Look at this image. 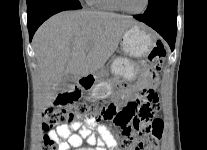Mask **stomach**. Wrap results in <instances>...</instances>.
<instances>
[{
	"label": "stomach",
	"instance_id": "1",
	"mask_svg": "<svg viewBox=\"0 0 207 150\" xmlns=\"http://www.w3.org/2000/svg\"><path fill=\"white\" fill-rule=\"evenodd\" d=\"M155 45V34L142 24L130 26L123 34L120 57L113 59L112 72L123 77V81H133L140 74V67L132 58L141 60L148 56ZM119 83L109 79L96 80L89 90L94 98H110L118 93Z\"/></svg>",
	"mask_w": 207,
	"mask_h": 150
}]
</instances>
